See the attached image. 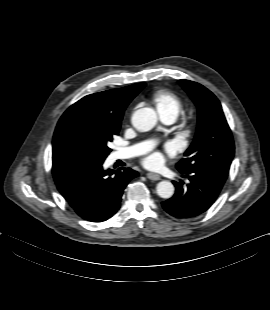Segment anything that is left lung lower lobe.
Wrapping results in <instances>:
<instances>
[{"label":"left lung lower lobe","instance_id":"left-lung-lower-lobe-1","mask_svg":"<svg viewBox=\"0 0 270 310\" xmlns=\"http://www.w3.org/2000/svg\"><path fill=\"white\" fill-rule=\"evenodd\" d=\"M181 173L189 183L183 186L182 181L180 183L173 181L176 187L175 194L162 202V206L167 213L176 218L188 219L199 216L215 202L227 175L208 172L202 168Z\"/></svg>","mask_w":270,"mask_h":310}]
</instances>
